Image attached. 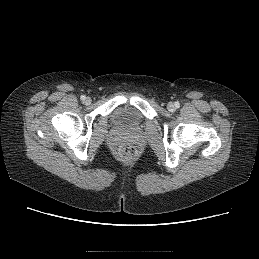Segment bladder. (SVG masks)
Segmentation results:
<instances>
[{
	"mask_svg": "<svg viewBox=\"0 0 259 259\" xmlns=\"http://www.w3.org/2000/svg\"><path fill=\"white\" fill-rule=\"evenodd\" d=\"M111 121L120 128H135L142 123L143 116L136 108L123 105L114 109Z\"/></svg>",
	"mask_w": 259,
	"mask_h": 259,
	"instance_id": "1",
	"label": "bladder"
}]
</instances>
